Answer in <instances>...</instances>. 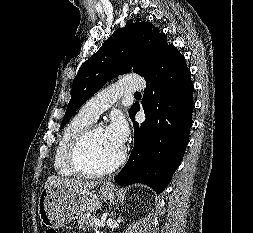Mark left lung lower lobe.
Returning a JSON list of instances; mask_svg holds the SVG:
<instances>
[{
    "label": "left lung lower lobe",
    "instance_id": "obj_1",
    "mask_svg": "<svg viewBox=\"0 0 253 233\" xmlns=\"http://www.w3.org/2000/svg\"><path fill=\"white\" fill-rule=\"evenodd\" d=\"M142 107L146 120L139 126L134 104V147L128 162L115 177L121 186L143 183L161 193L180 165L192 126L193 91L191 73L184 57L171 45L145 76Z\"/></svg>",
    "mask_w": 253,
    "mask_h": 233
}]
</instances>
